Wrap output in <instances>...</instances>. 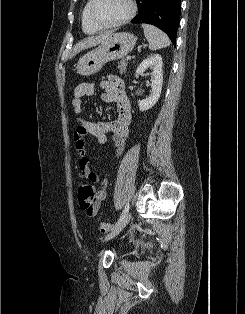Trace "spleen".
I'll list each match as a JSON object with an SVG mask.
<instances>
[{
    "mask_svg": "<svg viewBox=\"0 0 245 314\" xmlns=\"http://www.w3.org/2000/svg\"><path fill=\"white\" fill-rule=\"evenodd\" d=\"M142 28L144 30V35L149 43V49L152 51L168 47L170 45V40L168 36L153 25L143 23Z\"/></svg>",
    "mask_w": 245,
    "mask_h": 314,
    "instance_id": "3e777b00",
    "label": "spleen"
}]
</instances>
